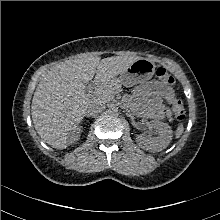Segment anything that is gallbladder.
<instances>
[{"mask_svg": "<svg viewBox=\"0 0 220 220\" xmlns=\"http://www.w3.org/2000/svg\"><path fill=\"white\" fill-rule=\"evenodd\" d=\"M91 84H85V87H86V91H89L91 88H90Z\"/></svg>", "mask_w": 220, "mask_h": 220, "instance_id": "obj_1", "label": "gallbladder"}]
</instances>
